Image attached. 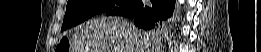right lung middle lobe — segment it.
I'll list each match as a JSON object with an SVG mask.
<instances>
[{
    "instance_id": "obj_1",
    "label": "right lung middle lobe",
    "mask_w": 261,
    "mask_h": 52,
    "mask_svg": "<svg viewBox=\"0 0 261 52\" xmlns=\"http://www.w3.org/2000/svg\"><path fill=\"white\" fill-rule=\"evenodd\" d=\"M123 1L125 0H68L61 31L75 26L95 14L111 9L115 2L119 4ZM165 25L166 23L157 27L161 28Z\"/></svg>"
}]
</instances>
